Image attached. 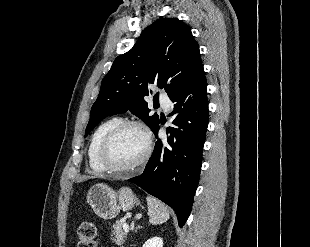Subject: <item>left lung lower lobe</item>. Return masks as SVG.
<instances>
[{"mask_svg": "<svg viewBox=\"0 0 310 247\" xmlns=\"http://www.w3.org/2000/svg\"><path fill=\"white\" fill-rule=\"evenodd\" d=\"M207 82L203 66L169 98L174 102L170 136L155 144L144 172L128 181L157 197L176 212L182 227L190 215L202 165L208 126ZM159 123L152 130L158 137Z\"/></svg>", "mask_w": 310, "mask_h": 247, "instance_id": "1", "label": "left lung lower lobe"}]
</instances>
